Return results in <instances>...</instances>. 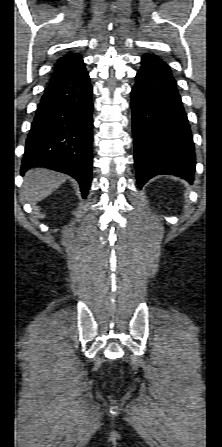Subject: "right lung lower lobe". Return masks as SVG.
<instances>
[{
	"label": "right lung lower lobe",
	"instance_id": "98d812e1",
	"mask_svg": "<svg viewBox=\"0 0 222 447\" xmlns=\"http://www.w3.org/2000/svg\"><path fill=\"white\" fill-rule=\"evenodd\" d=\"M92 87L83 60L70 73L50 84L41 98L22 161L74 177L86 197L92 173Z\"/></svg>",
	"mask_w": 222,
	"mask_h": 447
}]
</instances>
